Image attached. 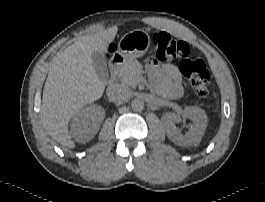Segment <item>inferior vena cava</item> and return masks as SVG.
<instances>
[{
  "mask_svg": "<svg viewBox=\"0 0 265 202\" xmlns=\"http://www.w3.org/2000/svg\"><path fill=\"white\" fill-rule=\"evenodd\" d=\"M107 97L110 101L122 103L127 101L131 96V90L122 84H112L106 90Z\"/></svg>",
  "mask_w": 265,
  "mask_h": 202,
  "instance_id": "inferior-vena-cava-1",
  "label": "inferior vena cava"
}]
</instances>
